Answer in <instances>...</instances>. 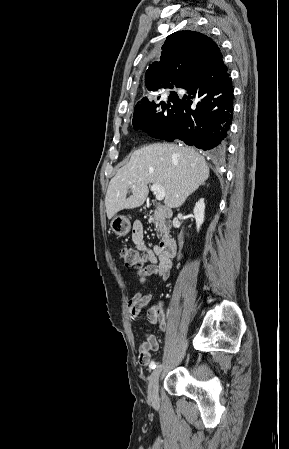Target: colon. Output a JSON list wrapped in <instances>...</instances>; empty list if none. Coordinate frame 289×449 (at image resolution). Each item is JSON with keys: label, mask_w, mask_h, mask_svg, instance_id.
I'll return each mask as SVG.
<instances>
[{"label": "colon", "mask_w": 289, "mask_h": 449, "mask_svg": "<svg viewBox=\"0 0 289 449\" xmlns=\"http://www.w3.org/2000/svg\"><path fill=\"white\" fill-rule=\"evenodd\" d=\"M120 257L124 261L125 265L134 268H144L146 266V262L149 261L148 256L141 253L137 249L125 246L122 247L119 251Z\"/></svg>", "instance_id": "1"}]
</instances>
